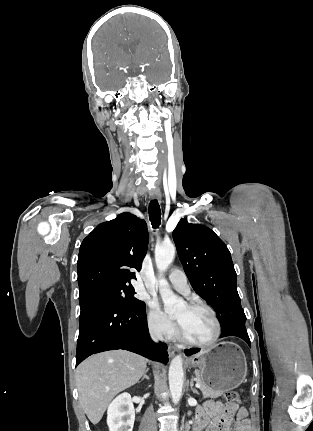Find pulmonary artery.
Listing matches in <instances>:
<instances>
[{
	"label": "pulmonary artery",
	"instance_id": "e3ab8cb5",
	"mask_svg": "<svg viewBox=\"0 0 313 431\" xmlns=\"http://www.w3.org/2000/svg\"><path fill=\"white\" fill-rule=\"evenodd\" d=\"M168 280L175 290L185 295L189 294L190 287L187 277L182 270L178 268L172 269L168 275Z\"/></svg>",
	"mask_w": 313,
	"mask_h": 431
}]
</instances>
